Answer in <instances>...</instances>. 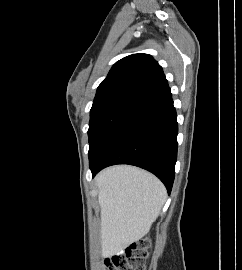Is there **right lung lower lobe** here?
Wrapping results in <instances>:
<instances>
[{
	"instance_id": "98d812e1",
	"label": "right lung lower lobe",
	"mask_w": 242,
	"mask_h": 270,
	"mask_svg": "<svg viewBox=\"0 0 242 270\" xmlns=\"http://www.w3.org/2000/svg\"><path fill=\"white\" fill-rule=\"evenodd\" d=\"M177 115L170 88L137 105L97 157L89 162L92 177L114 164H130L156 175L168 193L177 159Z\"/></svg>"
}]
</instances>
